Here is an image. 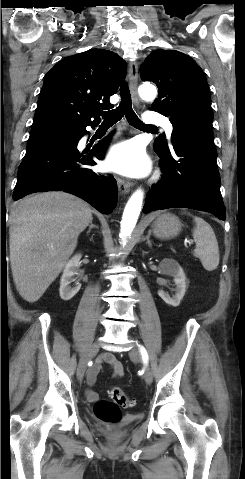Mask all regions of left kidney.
Wrapping results in <instances>:
<instances>
[{"instance_id":"1","label":"left kidney","mask_w":245,"mask_h":479,"mask_svg":"<svg viewBox=\"0 0 245 479\" xmlns=\"http://www.w3.org/2000/svg\"><path fill=\"white\" fill-rule=\"evenodd\" d=\"M159 269L163 274L174 277L176 285V294L173 297L163 290L158 291V295L164 300L165 303L173 307H177L186 292V276L182 267L173 259L165 258L159 265Z\"/></svg>"}]
</instances>
